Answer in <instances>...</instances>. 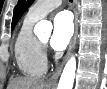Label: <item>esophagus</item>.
<instances>
[{"mask_svg":"<svg viewBox=\"0 0 107 89\" xmlns=\"http://www.w3.org/2000/svg\"><path fill=\"white\" fill-rule=\"evenodd\" d=\"M73 12H74V34H73V37L70 41V44H69V48H68V51H67V54L65 55L64 57V60L62 62V64L59 66V68L56 70V72L48 79L47 83L49 85H56L57 84V81H58V78L61 74V71L66 63V61L68 60L71 52H72V49L74 48V45L76 43V38H77V32H78V10H77V0H74L73 1Z\"/></svg>","mask_w":107,"mask_h":89,"instance_id":"esophagus-1","label":"esophagus"}]
</instances>
